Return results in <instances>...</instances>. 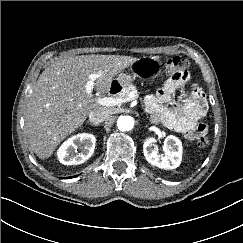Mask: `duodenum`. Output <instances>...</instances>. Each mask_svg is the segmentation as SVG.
<instances>
[{
	"label": "duodenum",
	"instance_id": "1",
	"mask_svg": "<svg viewBox=\"0 0 243 243\" xmlns=\"http://www.w3.org/2000/svg\"><path fill=\"white\" fill-rule=\"evenodd\" d=\"M121 90V87L117 84V83H113L111 86H110V89H109V92L110 94L112 95H116L117 93H119Z\"/></svg>",
	"mask_w": 243,
	"mask_h": 243
}]
</instances>
